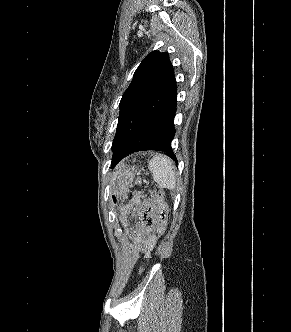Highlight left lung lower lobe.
Returning a JSON list of instances; mask_svg holds the SVG:
<instances>
[{
	"label": "left lung lower lobe",
	"mask_w": 291,
	"mask_h": 332,
	"mask_svg": "<svg viewBox=\"0 0 291 332\" xmlns=\"http://www.w3.org/2000/svg\"><path fill=\"white\" fill-rule=\"evenodd\" d=\"M176 107L177 86L173 76L168 85L148 102L131 138L113 155L112 166L126 155L143 150L162 151L176 161L171 147Z\"/></svg>",
	"instance_id": "1"
}]
</instances>
